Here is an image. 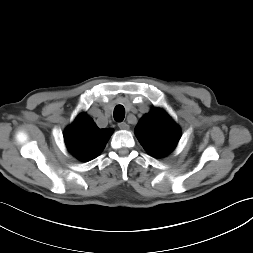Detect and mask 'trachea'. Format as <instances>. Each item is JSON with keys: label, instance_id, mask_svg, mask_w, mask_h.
Segmentation results:
<instances>
[{"label": "trachea", "instance_id": "trachea-1", "mask_svg": "<svg viewBox=\"0 0 253 253\" xmlns=\"http://www.w3.org/2000/svg\"><path fill=\"white\" fill-rule=\"evenodd\" d=\"M125 117V109L122 105H117L114 109V119L117 122H122Z\"/></svg>", "mask_w": 253, "mask_h": 253}]
</instances>
